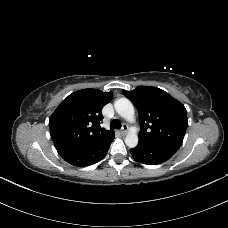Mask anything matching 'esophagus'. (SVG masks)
Instances as JSON below:
<instances>
[{"label":"esophagus","instance_id":"1","mask_svg":"<svg viewBox=\"0 0 228 228\" xmlns=\"http://www.w3.org/2000/svg\"><path fill=\"white\" fill-rule=\"evenodd\" d=\"M128 126L126 124H123L122 129L120 130V133L122 135H125L127 133Z\"/></svg>","mask_w":228,"mask_h":228}]
</instances>
